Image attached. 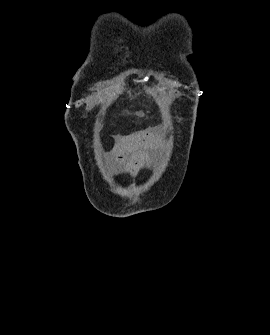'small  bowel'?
Here are the masks:
<instances>
[{"label":"small bowel","instance_id":"1","mask_svg":"<svg viewBox=\"0 0 270 335\" xmlns=\"http://www.w3.org/2000/svg\"><path fill=\"white\" fill-rule=\"evenodd\" d=\"M160 132L146 129L127 136L115 163L118 174L136 176L157 160L160 152Z\"/></svg>","mask_w":270,"mask_h":335}]
</instances>
